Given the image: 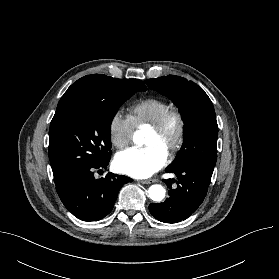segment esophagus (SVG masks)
Here are the masks:
<instances>
[{
  "mask_svg": "<svg viewBox=\"0 0 279 279\" xmlns=\"http://www.w3.org/2000/svg\"><path fill=\"white\" fill-rule=\"evenodd\" d=\"M155 181H156L155 179H148V180H139L138 182L141 184H151Z\"/></svg>",
  "mask_w": 279,
  "mask_h": 279,
  "instance_id": "obj_1",
  "label": "esophagus"
}]
</instances>
